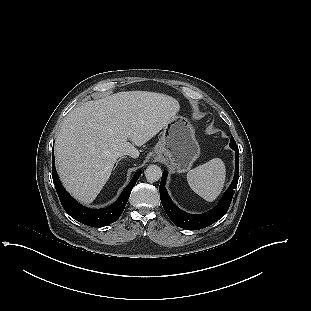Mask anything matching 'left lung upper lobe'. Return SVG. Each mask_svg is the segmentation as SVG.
<instances>
[{"label": "left lung upper lobe", "instance_id": "1", "mask_svg": "<svg viewBox=\"0 0 311 311\" xmlns=\"http://www.w3.org/2000/svg\"><path fill=\"white\" fill-rule=\"evenodd\" d=\"M231 143H234V144H235V140H234L233 137L231 138L230 144H231Z\"/></svg>", "mask_w": 311, "mask_h": 311}]
</instances>
